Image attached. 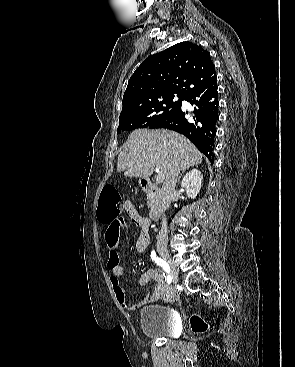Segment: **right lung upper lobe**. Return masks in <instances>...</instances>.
I'll use <instances>...</instances> for the list:
<instances>
[{"label":"right lung upper lobe","mask_w":295,"mask_h":367,"mask_svg":"<svg viewBox=\"0 0 295 367\" xmlns=\"http://www.w3.org/2000/svg\"><path fill=\"white\" fill-rule=\"evenodd\" d=\"M216 78L210 54L193 42L177 43L149 56L129 79L123 108L164 94L187 96ZM121 112V113H122Z\"/></svg>","instance_id":"1"}]
</instances>
